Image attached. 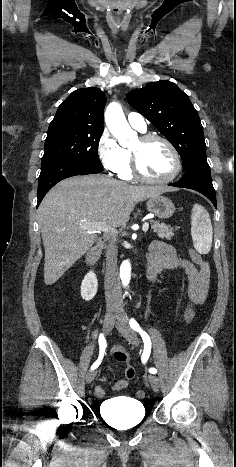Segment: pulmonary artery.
Segmentation results:
<instances>
[{
    "mask_svg": "<svg viewBox=\"0 0 236 467\" xmlns=\"http://www.w3.org/2000/svg\"><path fill=\"white\" fill-rule=\"evenodd\" d=\"M128 122L129 124L137 129L138 131L140 132H145L147 130V124H146V121H145V118L137 113V112H131L128 114Z\"/></svg>",
    "mask_w": 236,
    "mask_h": 467,
    "instance_id": "obj_1",
    "label": "pulmonary artery"
}]
</instances>
